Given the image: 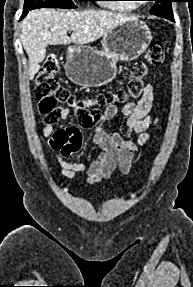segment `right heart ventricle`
Wrapping results in <instances>:
<instances>
[{"label":"right heart ventricle","mask_w":193,"mask_h":287,"mask_svg":"<svg viewBox=\"0 0 193 287\" xmlns=\"http://www.w3.org/2000/svg\"><path fill=\"white\" fill-rule=\"evenodd\" d=\"M110 3L106 4V6L109 9L115 10V11H122V12H126V11H131L133 9L132 5L130 4H126V3H117L120 2L118 0H111L108 1ZM114 2V3H113ZM116 2V3H115Z\"/></svg>","instance_id":"obj_1"}]
</instances>
